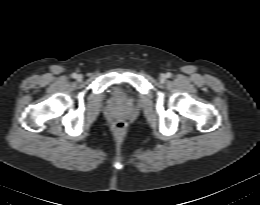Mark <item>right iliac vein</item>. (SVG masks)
Returning <instances> with one entry per match:
<instances>
[{
	"instance_id": "1",
	"label": "right iliac vein",
	"mask_w": 260,
	"mask_h": 205,
	"mask_svg": "<svg viewBox=\"0 0 260 205\" xmlns=\"http://www.w3.org/2000/svg\"><path fill=\"white\" fill-rule=\"evenodd\" d=\"M82 78H83V77H82V75H80V74H79V75H77V77H76V79H77L78 81H81V80H82Z\"/></svg>"
}]
</instances>
